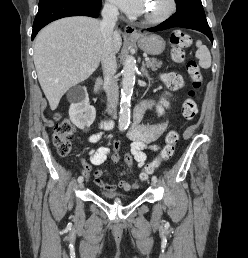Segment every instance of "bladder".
Here are the masks:
<instances>
[{
	"instance_id": "bladder-1",
	"label": "bladder",
	"mask_w": 248,
	"mask_h": 258,
	"mask_svg": "<svg viewBox=\"0 0 248 258\" xmlns=\"http://www.w3.org/2000/svg\"><path fill=\"white\" fill-rule=\"evenodd\" d=\"M102 195L106 198L109 199H121V198H126L125 195L118 193V192H114V191H104L102 192Z\"/></svg>"
}]
</instances>
